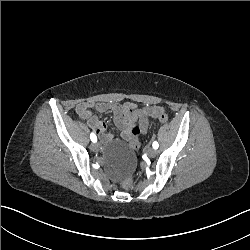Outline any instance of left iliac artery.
Instances as JSON below:
<instances>
[{
    "instance_id": "44dca946",
    "label": "left iliac artery",
    "mask_w": 250,
    "mask_h": 250,
    "mask_svg": "<svg viewBox=\"0 0 250 250\" xmlns=\"http://www.w3.org/2000/svg\"><path fill=\"white\" fill-rule=\"evenodd\" d=\"M152 146H153L154 149H158L159 144H158V142L154 141Z\"/></svg>"
}]
</instances>
